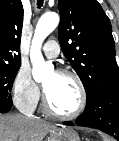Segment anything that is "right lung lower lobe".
Masks as SVG:
<instances>
[{"label":"right lung lower lobe","instance_id":"1","mask_svg":"<svg viewBox=\"0 0 119 141\" xmlns=\"http://www.w3.org/2000/svg\"><path fill=\"white\" fill-rule=\"evenodd\" d=\"M12 104H5L0 102V113L8 112L11 109Z\"/></svg>","mask_w":119,"mask_h":141}]
</instances>
